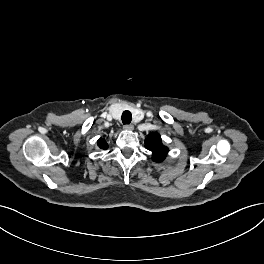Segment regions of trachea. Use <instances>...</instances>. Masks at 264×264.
<instances>
[{"label": "trachea", "instance_id": "obj_1", "mask_svg": "<svg viewBox=\"0 0 264 264\" xmlns=\"http://www.w3.org/2000/svg\"><path fill=\"white\" fill-rule=\"evenodd\" d=\"M132 120L131 112L126 110L122 113V122L123 124H130Z\"/></svg>", "mask_w": 264, "mask_h": 264}]
</instances>
